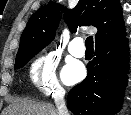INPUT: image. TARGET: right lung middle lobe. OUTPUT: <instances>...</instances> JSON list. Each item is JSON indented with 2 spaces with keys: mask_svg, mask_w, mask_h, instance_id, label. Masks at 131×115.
Returning <instances> with one entry per match:
<instances>
[{
  "mask_svg": "<svg viewBox=\"0 0 131 115\" xmlns=\"http://www.w3.org/2000/svg\"><path fill=\"white\" fill-rule=\"evenodd\" d=\"M40 50H30L23 55L16 57L15 69L23 67L32 57H34Z\"/></svg>",
  "mask_w": 131,
  "mask_h": 115,
  "instance_id": "1",
  "label": "right lung middle lobe"
}]
</instances>
